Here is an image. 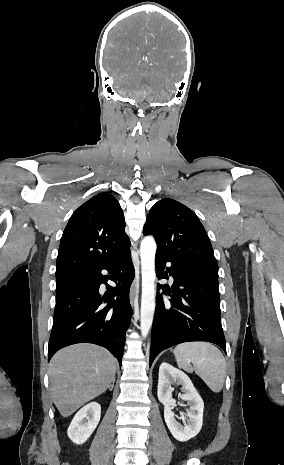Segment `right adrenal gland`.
Returning a JSON list of instances; mask_svg holds the SVG:
<instances>
[{
    "label": "right adrenal gland",
    "mask_w": 284,
    "mask_h": 465,
    "mask_svg": "<svg viewBox=\"0 0 284 465\" xmlns=\"http://www.w3.org/2000/svg\"><path fill=\"white\" fill-rule=\"evenodd\" d=\"M115 381H116V379H115V377H114L113 381H111L112 385H110V387H111L110 391H112V389H114V383H115Z\"/></svg>",
    "instance_id": "1"
}]
</instances>
